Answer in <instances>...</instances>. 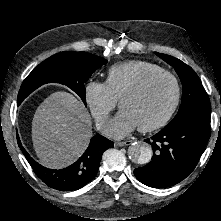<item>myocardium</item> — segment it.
Here are the masks:
<instances>
[{
  "mask_svg": "<svg viewBox=\"0 0 221 221\" xmlns=\"http://www.w3.org/2000/svg\"><path fill=\"white\" fill-rule=\"evenodd\" d=\"M159 77H167L172 81L174 86L173 101L167 113L160 120L150 125L138 126V129L141 132H152L158 130L168 124L169 121L172 119L181 99V86L178 78L173 73L167 70L155 71L145 75L137 83L126 89L118 98V105L120 107V102L122 101V99L141 93L153 80Z\"/></svg>",
  "mask_w": 221,
  "mask_h": 221,
  "instance_id": "f54148a6",
  "label": "myocardium"
}]
</instances>
